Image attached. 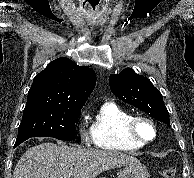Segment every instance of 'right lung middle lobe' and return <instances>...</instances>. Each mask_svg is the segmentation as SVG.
<instances>
[{"label": "right lung middle lobe", "mask_w": 194, "mask_h": 178, "mask_svg": "<svg viewBox=\"0 0 194 178\" xmlns=\"http://www.w3.org/2000/svg\"><path fill=\"white\" fill-rule=\"evenodd\" d=\"M80 112L81 109L70 108L50 100H28L18 129L17 140L31 137L74 140V126Z\"/></svg>", "instance_id": "right-lung-middle-lobe-1"}]
</instances>
